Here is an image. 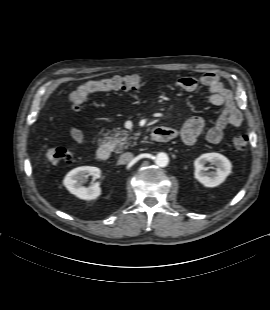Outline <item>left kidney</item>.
Listing matches in <instances>:
<instances>
[{"mask_svg": "<svg viewBox=\"0 0 270 310\" xmlns=\"http://www.w3.org/2000/svg\"><path fill=\"white\" fill-rule=\"evenodd\" d=\"M215 165L216 170L205 172L207 168L206 163ZM194 177L205 187H216L223 183L232 170L231 162L222 154L219 153H205L199 156L194 161Z\"/></svg>", "mask_w": 270, "mask_h": 310, "instance_id": "5707ae66", "label": "left kidney"}]
</instances>
